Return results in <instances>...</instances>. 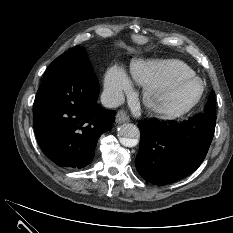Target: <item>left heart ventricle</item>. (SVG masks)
Returning <instances> with one entry per match:
<instances>
[{
    "instance_id": "obj_1",
    "label": "left heart ventricle",
    "mask_w": 233,
    "mask_h": 233,
    "mask_svg": "<svg viewBox=\"0 0 233 233\" xmlns=\"http://www.w3.org/2000/svg\"><path fill=\"white\" fill-rule=\"evenodd\" d=\"M198 92L199 84L197 82L185 81L158 94L157 100L166 107L180 108L190 103Z\"/></svg>"
}]
</instances>
